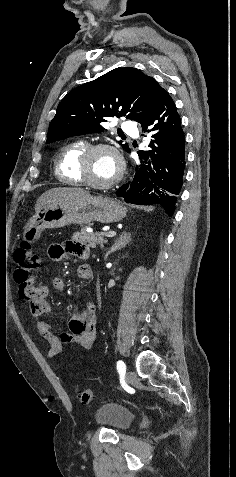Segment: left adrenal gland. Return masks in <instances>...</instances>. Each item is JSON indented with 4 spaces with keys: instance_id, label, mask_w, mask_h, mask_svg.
<instances>
[{
    "instance_id": "1",
    "label": "left adrenal gland",
    "mask_w": 236,
    "mask_h": 477,
    "mask_svg": "<svg viewBox=\"0 0 236 477\" xmlns=\"http://www.w3.org/2000/svg\"><path fill=\"white\" fill-rule=\"evenodd\" d=\"M131 241V236L130 233L123 232L120 237L115 240L114 245L111 247V249L106 253L105 258L108 257L109 254L112 252H115L123 247H125L129 242Z\"/></svg>"
}]
</instances>
